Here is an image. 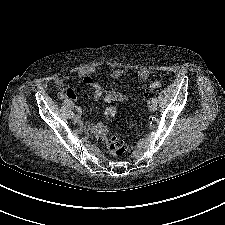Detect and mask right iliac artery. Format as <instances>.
<instances>
[{
	"mask_svg": "<svg viewBox=\"0 0 225 225\" xmlns=\"http://www.w3.org/2000/svg\"><path fill=\"white\" fill-rule=\"evenodd\" d=\"M78 110H79V109H78ZM74 116H75V115H74V113L72 112V113H71V117L73 118Z\"/></svg>",
	"mask_w": 225,
	"mask_h": 225,
	"instance_id": "1",
	"label": "right iliac artery"
}]
</instances>
